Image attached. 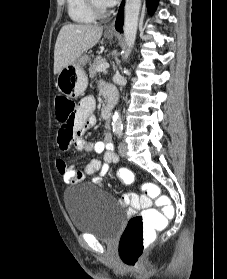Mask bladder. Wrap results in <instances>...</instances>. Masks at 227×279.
<instances>
[{
    "label": "bladder",
    "mask_w": 227,
    "mask_h": 279,
    "mask_svg": "<svg viewBox=\"0 0 227 279\" xmlns=\"http://www.w3.org/2000/svg\"><path fill=\"white\" fill-rule=\"evenodd\" d=\"M63 201L76 231L101 241H111L121 232L124 215L117 199L104 196L95 186L79 185L64 191Z\"/></svg>",
    "instance_id": "obj_1"
}]
</instances>
